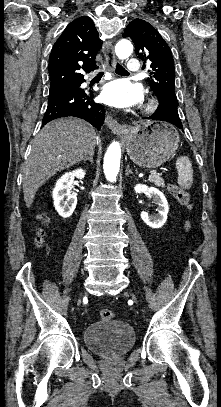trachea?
Masks as SVG:
<instances>
[{"instance_id": "3493384b", "label": "trachea", "mask_w": 221, "mask_h": 407, "mask_svg": "<svg viewBox=\"0 0 221 407\" xmlns=\"http://www.w3.org/2000/svg\"><path fill=\"white\" fill-rule=\"evenodd\" d=\"M127 71L125 70V68L123 66H121L119 63H117L116 65V73L117 74H122V73H126ZM98 75H103V72L98 73Z\"/></svg>"}]
</instances>
